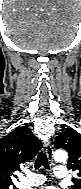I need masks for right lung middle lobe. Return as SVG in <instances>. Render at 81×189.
<instances>
[{"label": "right lung middle lobe", "instance_id": "dd1d6c3e", "mask_svg": "<svg viewBox=\"0 0 81 189\" xmlns=\"http://www.w3.org/2000/svg\"><path fill=\"white\" fill-rule=\"evenodd\" d=\"M16 189L15 186H12V184H8V185H3V186H0V189Z\"/></svg>", "mask_w": 81, "mask_h": 189}]
</instances>
